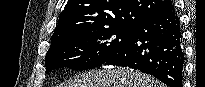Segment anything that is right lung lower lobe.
<instances>
[{
	"instance_id": "1",
	"label": "right lung lower lobe",
	"mask_w": 205,
	"mask_h": 87,
	"mask_svg": "<svg viewBox=\"0 0 205 87\" xmlns=\"http://www.w3.org/2000/svg\"><path fill=\"white\" fill-rule=\"evenodd\" d=\"M184 63L180 21L172 4L140 23L104 65L139 69L169 87H182Z\"/></svg>"
}]
</instances>
